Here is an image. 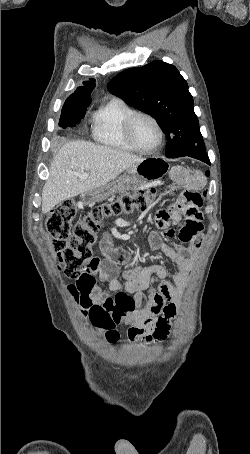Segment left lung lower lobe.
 <instances>
[{"label":"left lung lower lobe","mask_w":250,"mask_h":454,"mask_svg":"<svg viewBox=\"0 0 250 454\" xmlns=\"http://www.w3.org/2000/svg\"><path fill=\"white\" fill-rule=\"evenodd\" d=\"M181 156H189V157H193V158H196L198 160H201L207 164L210 165V160L208 158V155L204 150H198V151H193V152H190V153H186V154H183V155H175V156H172V157H169V158H176V157H181Z\"/></svg>","instance_id":"0a47b994"}]
</instances>
